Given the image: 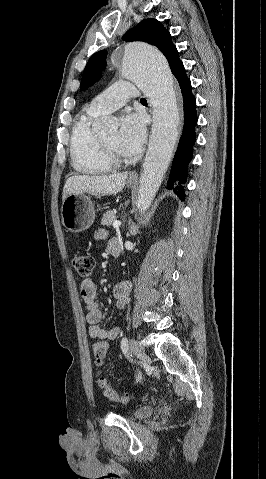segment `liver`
<instances>
[{
  "instance_id": "liver-1",
  "label": "liver",
  "mask_w": 266,
  "mask_h": 479,
  "mask_svg": "<svg viewBox=\"0 0 266 479\" xmlns=\"http://www.w3.org/2000/svg\"><path fill=\"white\" fill-rule=\"evenodd\" d=\"M127 177L128 173L126 172L112 175L71 176L65 182L62 200H65L70 194H116L124 188Z\"/></svg>"
}]
</instances>
